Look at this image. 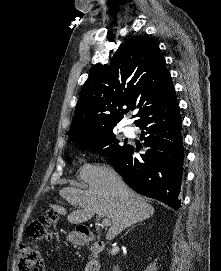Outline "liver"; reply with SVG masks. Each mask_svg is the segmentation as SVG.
I'll list each match as a JSON object with an SVG mask.
<instances>
[{
  "instance_id": "obj_1",
  "label": "liver",
  "mask_w": 221,
  "mask_h": 271,
  "mask_svg": "<svg viewBox=\"0 0 221 271\" xmlns=\"http://www.w3.org/2000/svg\"><path fill=\"white\" fill-rule=\"evenodd\" d=\"M79 177L88 183L85 191L75 187L60 189V195L66 197L74 207L79 205L78 209L67 213L62 205H51L58 213H67L70 223L88 221L95 213L108 215L112 225L106 233V239H113L133 223L152 217L153 205L133 191L113 167L84 163Z\"/></svg>"
}]
</instances>
